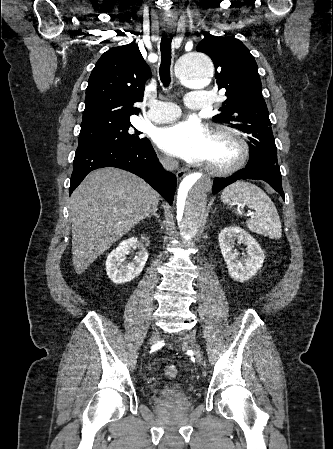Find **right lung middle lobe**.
<instances>
[{
  "instance_id": "obj_1",
  "label": "right lung middle lobe",
  "mask_w": 333,
  "mask_h": 449,
  "mask_svg": "<svg viewBox=\"0 0 333 449\" xmlns=\"http://www.w3.org/2000/svg\"><path fill=\"white\" fill-rule=\"evenodd\" d=\"M131 127L130 120L81 126L78 147L123 146L140 148L148 139L140 137L141 132L137 129L133 130Z\"/></svg>"
}]
</instances>
